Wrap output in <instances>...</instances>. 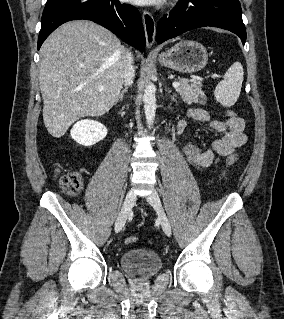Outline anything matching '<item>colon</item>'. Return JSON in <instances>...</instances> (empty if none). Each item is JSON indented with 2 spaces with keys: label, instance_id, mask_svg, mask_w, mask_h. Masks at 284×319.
<instances>
[{
  "label": "colon",
  "instance_id": "5ec220e1",
  "mask_svg": "<svg viewBox=\"0 0 284 319\" xmlns=\"http://www.w3.org/2000/svg\"><path fill=\"white\" fill-rule=\"evenodd\" d=\"M229 118L237 117L236 113L232 110L227 112ZM238 161V156L236 154L230 155L226 161V169L223 176H226L227 170L234 166ZM59 185L61 189L70 196H74L79 193L82 187V176L79 172H69L58 175ZM137 238L135 236H129L125 239V244L131 245L135 243Z\"/></svg>",
  "mask_w": 284,
  "mask_h": 319
}]
</instances>
